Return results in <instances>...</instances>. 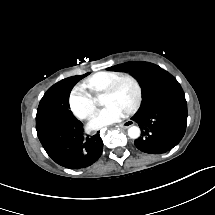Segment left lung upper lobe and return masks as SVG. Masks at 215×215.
<instances>
[{
	"mask_svg": "<svg viewBox=\"0 0 215 215\" xmlns=\"http://www.w3.org/2000/svg\"><path fill=\"white\" fill-rule=\"evenodd\" d=\"M109 69L129 71L141 84L142 105L132 117L141 129L135 146L149 154L175 147L187 124V102L177 80L159 66L145 62H128Z\"/></svg>",
	"mask_w": 215,
	"mask_h": 215,
	"instance_id": "5c2ea615",
	"label": "left lung upper lobe"
}]
</instances>
